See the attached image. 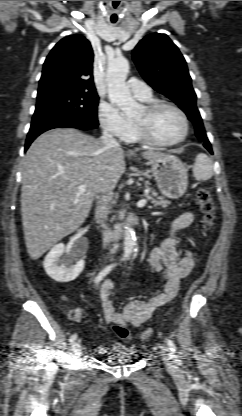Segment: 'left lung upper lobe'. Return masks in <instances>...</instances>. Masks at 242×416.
<instances>
[{
	"label": "left lung upper lobe",
	"mask_w": 242,
	"mask_h": 416,
	"mask_svg": "<svg viewBox=\"0 0 242 416\" xmlns=\"http://www.w3.org/2000/svg\"><path fill=\"white\" fill-rule=\"evenodd\" d=\"M132 57L144 80L173 100L194 123L199 140L208 141L186 61L170 38L166 34H149L137 44Z\"/></svg>",
	"instance_id": "obj_1"
}]
</instances>
